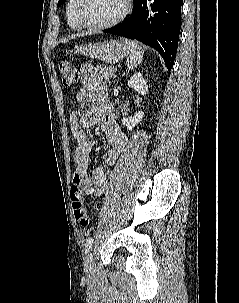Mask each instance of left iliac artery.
Instances as JSON below:
<instances>
[{
	"instance_id": "obj_1",
	"label": "left iliac artery",
	"mask_w": 239,
	"mask_h": 303,
	"mask_svg": "<svg viewBox=\"0 0 239 303\" xmlns=\"http://www.w3.org/2000/svg\"><path fill=\"white\" fill-rule=\"evenodd\" d=\"M92 245H93V238L92 237L87 238L86 243H85V253L89 252Z\"/></svg>"
}]
</instances>
